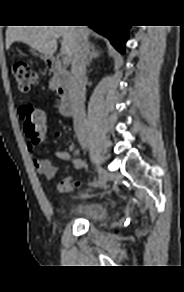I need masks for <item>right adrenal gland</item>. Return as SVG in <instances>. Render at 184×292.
Instances as JSON below:
<instances>
[{
	"label": "right adrenal gland",
	"instance_id": "2a0ac1e0",
	"mask_svg": "<svg viewBox=\"0 0 184 292\" xmlns=\"http://www.w3.org/2000/svg\"><path fill=\"white\" fill-rule=\"evenodd\" d=\"M100 55H101L100 50L97 49V47H96L94 44H92V45L90 46L89 59H88L87 66L89 67L90 64H91V62H92V60H93L94 58H98V57H100Z\"/></svg>",
	"mask_w": 184,
	"mask_h": 292
}]
</instances>
